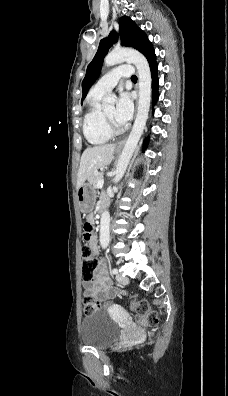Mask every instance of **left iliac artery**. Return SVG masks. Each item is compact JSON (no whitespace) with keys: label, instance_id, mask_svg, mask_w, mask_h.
Listing matches in <instances>:
<instances>
[{"label":"left iliac artery","instance_id":"left-iliac-artery-1","mask_svg":"<svg viewBox=\"0 0 228 396\" xmlns=\"http://www.w3.org/2000/svg\"><path fill=\"white\" fill-rule=\"evenodd\" d=\"M117 273H118V270L116 268H113L112 269V274H117Z\"/></svg>","mask_w":228,"mask_h":396}]
</instances>
